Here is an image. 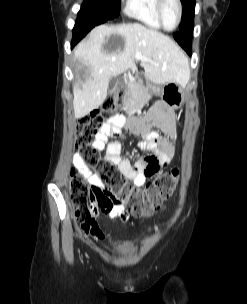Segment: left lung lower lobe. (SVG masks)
<instances>
[{"instance_id":"0a47b994","label":"left lung lower lobe","mask_w":247,"mask_h":304,"mask_svg":"<svg viewBox=\"0 0 247 304\" xmlns=\"http://www.w3.org/2000/svg\"><path fill=\"white\" fill-rule=\"evenodd\" d=\"M193 28H187L181 30L179 33L173 35L174 39L181 45V47L188 53L191 54L190 40L193 36Z\"/></svg>"}]
</instances>
